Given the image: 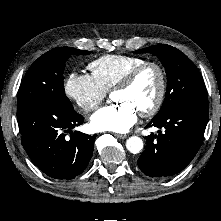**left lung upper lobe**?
Here are the masks:
<instances>
[{"instance_id": "obj_1", "label": "left lung upper lobe", "mask_w": 221, "mask_h": 221, "mask_svg": "<svg viewBox=\"0 0 221 221\" xmlns=\"http://www.w3.org/2000/svg\"><path fill=\"white\" fill-rule=\"evenodd\" d=\"M156 55L167 74V91L155 117L167 114L177 106L194 99L207 98L203 79L195 64L180 50L169 45H155L137 50Z\"/></svg>"}]
</instances>
